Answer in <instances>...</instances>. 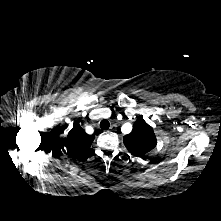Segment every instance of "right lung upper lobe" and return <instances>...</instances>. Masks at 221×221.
<instances>
[{
    "label": "right lung upper lobe",
    "instance_id": "right-lung-upper-lobe-1",
    "mask_svg": "<svg viewBox=\"0 0 221 221\" xmlns=\"http://www.w3.org/2000/svg\"><path fill=\"white\" fill-rule=\"evenodd\" d=\"M94 138V135L86 134L80 125L75 123L68 133L64 151L71 157H80L89 150Z\"/></svg>",
    "mask_w": 221,
    "mask_h": 221
}]
</instances>
